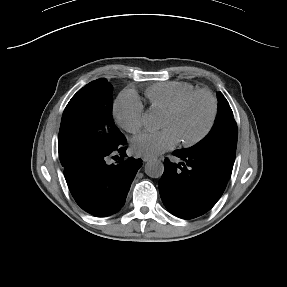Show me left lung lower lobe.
Here are the masks:
<instances>
[{"instance_id": "0a47b994", "label": "left lung lower lobe", "mask_w": 287, "mask_h": 287, "mask_svg": "<svg viewBox=\"0 0 287 287\" xmlns=\"http://www.w3.org/2000/svg\"><path fill=\"white\" fill-rule=\"evenodd\" d=\"M173 154L185 163L164 161V173L159 180L161 199L173 215L196 218L219 200L229 178L198 153L180 150Z\"/></svg>"}]
</instances>
